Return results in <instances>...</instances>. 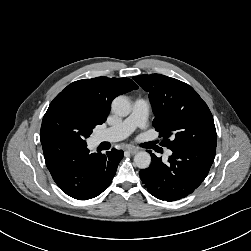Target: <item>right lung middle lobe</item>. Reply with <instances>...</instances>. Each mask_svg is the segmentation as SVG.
<instances>
[{
  "label": "right lung middle lobe",
  "instance_id": "1",
  "mask_svg": "<svg viewBox=\"0 0 251 251\" xmlns=\"http://www.w3.org/2000/svg\"><path fill=\"white\" fill-rule=\"evenodd\" d=\"M96 125L84 110L70 102L50 104L42 121L41 142L63 140L87 145L86 139Z\"/></svg>",
  "mask_w": 251,
  "mask_h": 251
}]
</instances>
